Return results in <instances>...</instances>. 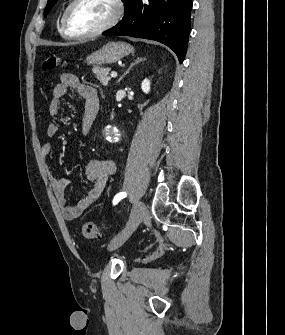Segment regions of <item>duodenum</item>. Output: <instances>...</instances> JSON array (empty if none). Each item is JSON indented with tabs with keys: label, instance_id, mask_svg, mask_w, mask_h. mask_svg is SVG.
I'll list each match as a JSON object with an SVG mask.
<instances>
[{
	"label": "duodenum",
	"instance_id": "410a0bca",
	"mask_svg": "<svg viewBox=\"0 0 285 335\" xmlns=\"http://www.w3.org/2000/svg\"><path fill=\"white\" fill-rule=\"evenodd\" d=\"M98 107H95L93 110H92V112H91V114H92V116H96V114H97V112H98Z\"/></svg>",
	"mask_w": 285,
	"mask_h": 335
}]
</instances>
